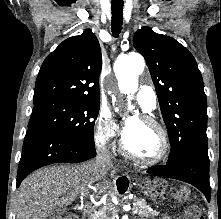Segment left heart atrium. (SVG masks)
Instances as JSON below:
<instances>
[{
  "label": "left heart atrium",
  "mask_w": 221,
  "mask_h": 219,
  "mask_svg": "<svg viewBox=\"0 0 221 219\" xmlns=\"http://www.w3.org/2000/svg\"><path fill=\"white\" fill-rule=\"evenodd\" d=\"M129 131H130V127H129V125L127 124V125L124 126V128H123V130H122L123 138H125V137L128 135Z\"/></svg>",
  "instance_id": "obj_1"
}]
</instances>
